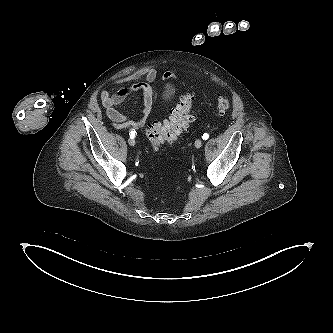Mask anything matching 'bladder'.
<instances>
[{
	"label": "bladder",
	"instance_id": "obj_1",
	"mask_svg": "<svg viewBox=\"0 0 333 333\" xmlns=\"http://www.w3.org/2000/svg\"><path fill=\"white\" fill-rule=\"evenodd\" d=\"M173 90L168 88L166 89V91L164 92V99L167 101L169 99H171V97L173 96Z\"/></svg>",
	"mask_w": 333,
	"mask_h": 333
}]
</instances>
